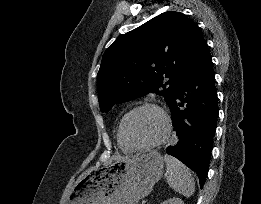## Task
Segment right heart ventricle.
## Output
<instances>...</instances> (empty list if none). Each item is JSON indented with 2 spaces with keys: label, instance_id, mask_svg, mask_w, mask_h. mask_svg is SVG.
Returning <instances> with one entry per match:
<instances>
[{
  "label": "right heart ventricle",
  "instance_id": "e07e8e85",
  "mask_svg": "<svg viewBox=\"0 0 261 204\" xmlns=\"http://www.w3.org/2000/svg\"><path fill=\"white\" fill-rule=\"evenodd\" d=\"M116 138H117V144H118L119 149H120L122 152H124V153H130L131 150L128 149L127 147H125V146L123 145V143L121 142V140H120V138H119L118 130H117V133H116Z\"/></svg>",
  "mask_w": 261,
  "mask_h": 204
}]
</instances>
